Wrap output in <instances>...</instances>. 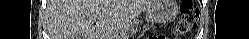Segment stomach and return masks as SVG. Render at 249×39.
<instances>
[{"mask_svg": "<svg viewBox=\"0 0 249 39\" xmlns=\"http://www.w3.org/2000/svg\"><path fill=\"white\" fill-rule=\"evenodd\" d=\"M176 12V4L173 0H157L146 11V21L148 24H166L171 22ZM139 22L133 21L131 27H136ZM124 37V36H122ZM117 38V37H116Z\"/></svg>", "mask_w": 249, "mask_h": 39, "instance_id": "0dacf381", "label": "stomach"}]
</instances>
